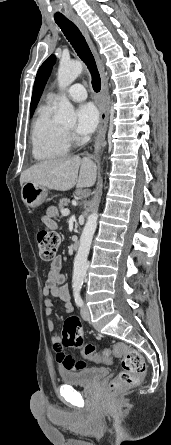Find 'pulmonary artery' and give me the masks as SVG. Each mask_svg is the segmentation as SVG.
<instances>
[{"label":"pulmonary artery","mask_w":171,"mask_h":445,"mask_svg":"<svg viewBox=\"0 0 171 445\" xmlns=\"http://www.w3.org/2000/svg\"><path fill=\"white\" fill-rule=\"evenodd\" d=\"M66 94L76 102L84 101L87 98V93L83 85L73 84L67 90ZM58 97L57 93H50L48 95V103H53Z\"/></svg>","instance_id":"1"}]
</instances>
